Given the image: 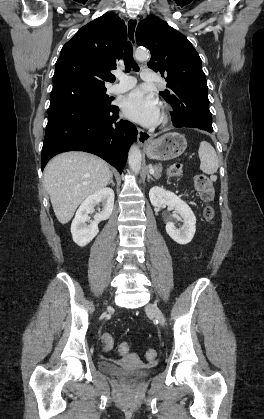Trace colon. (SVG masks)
I'll use <instances>...</instances> for the list:
<instances>
[{
    "mask_svg": "<svg viewBox=\"0 0 264 419\" xmlns=\"http://www.w3.org/2000/svg\"><path fill=\"white\" fill-rule=\"evenodd\" d=\"M182 172V166L179 163H173L166 168V175L170 178L177 177ZM195 188L199 192L201 199L207 204L204 210L205 217L208 220H212L214 218V210L209 205V203L213 200L214 197V190L212 181L209 177L205 175H200L195 178ZM114 340L110 334H104L102 336V346L104 350H110L113 348ZM123 352L129 351V345L127 343L124 344L122 347ZM146 358L149 361H153L156 358V352L153 349H149L146 352Z\"/></svg>",
    "mask_w": 264,
    "mask_h": 419,
    "instance_id": "5ec220e1",
    "label": "colon"
}]
</instances>
